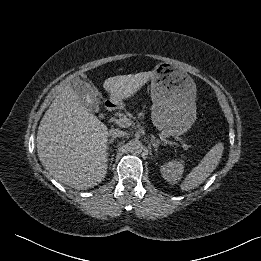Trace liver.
Listing matches in <instances>:
<instances>
[{"label":"liver","mask_w":261,"mask_h":261,"mask_svg":"<svg viewBox=\"0 0 261 261\" xmlns=\"http://www.w3.org/2000/svg\"><path fill=\"white\" fill-rule=\"evenodd\" d=\"M153 74L154 71H149L110 77L103 88L117 104L133 96ZM75 77L72 75L66 80L65 87L45 112L38 127L36 147L48 177L71 188L87 190L106 177L109 131L81 103L71 85Z\"/></svg>","instance_id":"6515ba94"}]
</instances>
